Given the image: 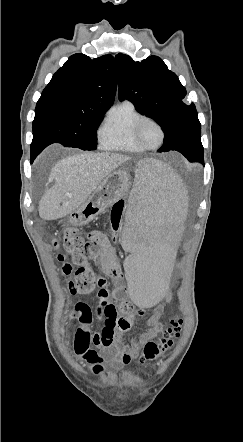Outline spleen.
<instances>
[{
	"label": "spleen",
	"instance_id": "obj_1",
	"mask_svg": "<svg viewBox=\"0 0 243 442\" xmlns=\"http://www.w3.org/2000/svg\"><path fill=\"white\" fill-rule=\"evenodd\" d=\"M131 183L127 217L122 228L126 259L124 274L129 280L126 296L134 307H158L170 286L169 274L183 242V226H189L186 214L187 193L178 172L168 163L143 160L136 163Z\"/></svg>",
	"mask_w": 243,
	"mask_h": 442
}]
</instances>
